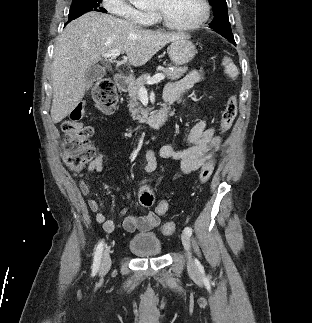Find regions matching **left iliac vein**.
Returning <instances> with one entry per match:
<instances>
[{
  "label": "left iliac vein",
  "mask_w": 312,
  "mask_h": 323,
  "mask_svg": "<svg viewBox=\"0 0 312 323\" xmlns=\"http://www.w3.org/2000/svg\"><path fill=\"white\" fill-rule=\"evenodd\" d=\"M182 244L184 246V248L186 249V252H187V261H188V268H192L194 266L193 264V259L191 257V254H190V248H191V245H190V239H189V236L188 234L186 233H182Z\"/></svg>",
  "instance_id": "left-iliac-vein-1"
}]
</instances>
